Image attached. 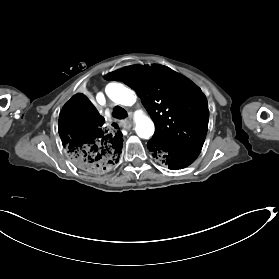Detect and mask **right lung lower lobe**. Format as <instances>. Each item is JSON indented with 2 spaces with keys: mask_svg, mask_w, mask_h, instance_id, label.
Wrapping results in <instances>:
<instances>
[{
  "mask_svg": "<svg viewBox=\"0 0 279 279\" xmlns=\"http://www.w3.org/2000/svg\"><path fill=\"white\" fill-rule=\"evenodd\" d=\"M105 119L83 94L74 95L63 106L58 131L70 159L79 169L102 174L111 171L119 161L123 135L116 123Z\"/></svg>",
  "mask_w": 279,
  "mask_h": 279,
  "instance_id": "right-lung-lower-lobe-1",
  "label": "right lung lower lobe"
}]
</instances>
